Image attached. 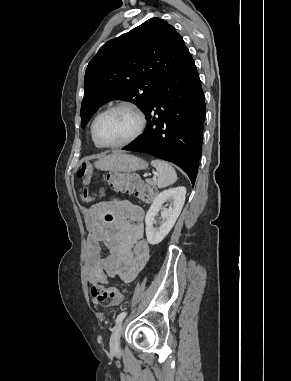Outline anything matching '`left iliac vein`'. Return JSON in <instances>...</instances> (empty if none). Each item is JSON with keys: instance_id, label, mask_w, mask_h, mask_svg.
<instances>
[{"instance_id": "1", "label": "left iliac vein", "mask_w": 291, "mask_h": 381, "mask_svg": "<svg viewBox=\"0 0 291 381\" xmlns=\"http://www.w3.org/2000/svg\"><path fill=\"white\" fill-rule=\"evenodd\" d=\"M123 331V324L120 322L114 329L111 340H110V348L113 351H116L120 347V336Z\"/></svg>"}]
</instances>
